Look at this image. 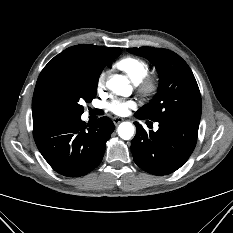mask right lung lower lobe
I'll return each instance as SVG.
<instances>
[{
	"label": "right lung lower lobe",
	"mask_w": 233,
	"mask_h": 233,
	"mask_svg": "<svg viewBox=\"0 0 233 233\" xmlns=\"http://www.w3.org/2000/svg\"><path fill=\"white\" fill-rule=\"evenodd\" d=\"M114 124L101 117L91 128L78 117H60L34 128L35 143L48 164L59 174L79 177L97 167Z\"/></svg>",
	"instance_id": "1"
}]
</instances>
